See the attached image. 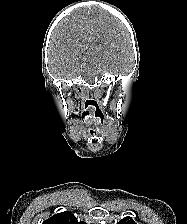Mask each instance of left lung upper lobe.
Returning a JSON list of instances; mask_svg holds the SVG:
<instances>
[{"instance_id": "5c2ea615", "label": "left lung upper lobe", "mask_w": 187, "mask_h": 224, "mask_svg": "<svg viewBox=\"0 0 187 224\" xmlns=\"http://www.w3.org/2000/svg\"><path fill=\"white\" fill-rule=\"evenodd\" d=\"M117 224H136L131 217H125L121 219Z\"/></svg>"}]
</instances>
